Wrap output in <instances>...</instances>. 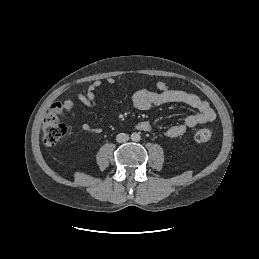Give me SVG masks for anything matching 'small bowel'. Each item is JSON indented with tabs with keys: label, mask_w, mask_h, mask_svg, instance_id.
<instances>
[{
	"label": "small bowel",
	"mask_w": 259,
	"mask_h": 259,
	"mask_svg": "<svg viewBox=\"0 0 259 259\" xmlns=\"http://www.w3.org/2000/svg\"><path fill=\"white\" fill-rule=\"evenodd\" d=\"M108 85L115 83L114 78L106 79ZM102 85L100 80L91 83L85 92L77 95V99L87 107L95 105V92ZM157 91L147 89L137 91L132 97L133 106L141 111L149 110L155 106L166 103H183L197 110L196 113L190 114L183 122L168 127L163 134L169 138L182 136L189 128H193L199 124L211 122L215 119V112L209 103L202 100L199 96L184 90L171 89L166 83L159 81L156 84ZM64 109L74 114V103L72 100L64 102ZM136 128L141 131L149 132L153 129L149 121H140L136 124ZM82 129L88 132H100V128L94 127L88 123L82 125Z\"/></svg>",
	"instance_id": "obj_1"
}]
</instances>
